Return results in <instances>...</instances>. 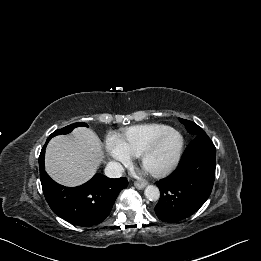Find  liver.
I'll use <instances>...</instances> for the list:
<instances>
[{"label": "liver", "mask_w": 261, "mask_h": 261, "mask_svg": "<svg viewBox=\"0 0 261 261\" xmlns=\"http://www.w3.org/2000/svg\"><path fill=\"white\" fill-rule=\"evenodd\" d=\"M102 161L99 137L84 127L74 129L70 135L54 137L46 148V171L65 186H78L88 181Z\"/></svg>", "instance_id": "1"}]
</instances>
